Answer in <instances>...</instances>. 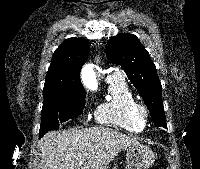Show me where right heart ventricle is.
Returning <instances> with one entry per match:
<instances>
[{
    "label": "right heart ventricle",
    "instance_id": "right-heart-ventricle-1",
    "mask_svg": "<svg viewBox=\"0 0 200 169\" xmlns=\"http://www.w3.org/2000/svg\"><path fill=\"white\" fill-rule=\"evenodd\" d=\"M108 97L95 111L98 123L127 132L138 133L144 129L135 116L137 98L122 76L106 79Z\"/></svg>",
    "mask_w": 200,
    "mask_h": 169
}]
</instances>
